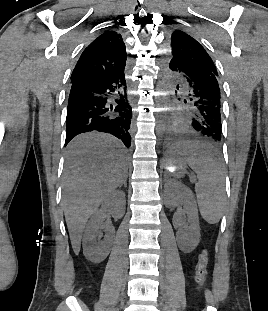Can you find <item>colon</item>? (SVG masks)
I'll use <instances>...</instances> for the list:
<instances>
[{
    "label": "colon",
    "instance_id": "5ec220e1",
    "mask_svg": "<svg viewBox=\"0 0 268 311\" xmlns=\"http://www.w3.org/2000/svg\"><path fill=\"white\" fill-rule=\"evenodd\" d=\"M209 263V255L206 250H203L198 257V263L196 265V275L195 280L198 288H201L205 283L207 276V267Z\"/></svg>",
    "mask_w": 268,
    "mask_h": 311
}]
</instances>
